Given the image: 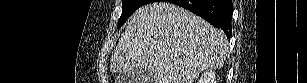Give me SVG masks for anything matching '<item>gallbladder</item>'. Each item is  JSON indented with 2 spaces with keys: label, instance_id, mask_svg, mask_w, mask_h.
<instances>
[{
  "label": "gallbladder",
  "instance_id": "1",
  "mask_svg": "<svg viewBox=\"0 0 307 83\" xmlns=\"http://www.w3.org/2000/svg\"><path fill=\"white\" fill-rule=\"evenodd\" d=\"M153 73L148 69H134L131 72L123 73L118 79L120 83H152Z\"/></svg>",
  "mask_w": 307,
  "mask_h": 83
}]
</instances>
